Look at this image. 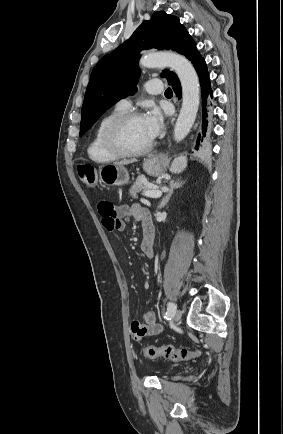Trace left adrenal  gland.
I'll return each instance as SVG.
<instances>
[{
	"mask_svg": "<svg viewBox=\"0 0 283 434\" xmlns=\"http://www.w3.org/2000/svg\"><path fill=\"white\" fill-rule=\"evenodd\" d=\"M169 186H170V190H169L168 194L162 198L160 205L158 206V209H162L167 205L174 190L180 188L182 186V182L172 180V181H170Z\"/></svg>",
	"mask_w": 283,
	"mask_h": 434,
	"instance_id": "1",
	"label": "left adrenal gland"
}]
</instances>
